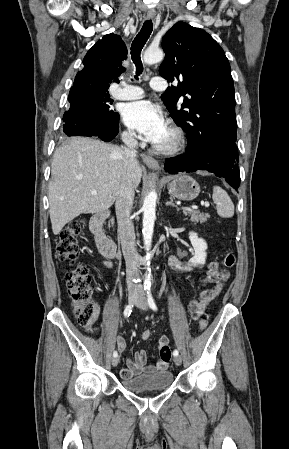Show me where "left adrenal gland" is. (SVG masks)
I'll return each instance as SVG.
<instances>
[{
  "label": "left adrenal gland",
  "instance_id": "left-adrenal-gland-1",
  "mask_svg": "<svg viewBox=\"0 0 289 449\" xmlns=\"http://www.w3.org/2000/svg\"><path fill=\"white\" fill-rule=\"evenodd\" d=\"M166 206H173V207H176V208H177V205H175V204L173 203V198H172V197H170V201L166 203ZM177 209H178V208H177Z\"/></svg>",
  "mask_w": 289,
  "mask_h": 449
}]
</instances>
